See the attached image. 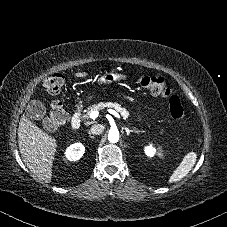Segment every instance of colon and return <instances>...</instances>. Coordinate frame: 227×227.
<instances>
[{
    "mask_svg": "<svg viewBox=\"0 0 227 227\" xmlns=\"http://www.w3.org/2000/svg\"><path fill=\"white\" fill-rule=\"evenodd\" d=\"M65 78L61 73H54L44 81L46 90L51 94H58L64 86ZM141 87L151 94L169 99V111L175 121H182L186 111L181 100L173 95L171 88L162 76L143 75L138 79ZM68 121V113L60 101H53L50 112L43 122L47 131H57Z\"/></svg>",
    "mask_w": 227,
    "mask_h": 227,
    "instance_id": "1",
    "label": "colon"
}]
</instances>
